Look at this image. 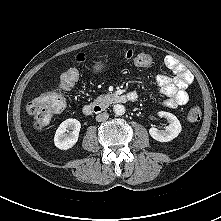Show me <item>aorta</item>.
<instances>
[{"label":"aorta","mask_w":221,"mask_h":221,"mask_svg":"<svg viewBox=\"0 0 221 221\" xmlns=\"http://www.w3.org/2000/svg\"><path fill=\"white\" fill-rule=\"evenodd\" d=\"M113 111L116 115H124L125 112H126V109L124 107V105H121V104H116L114 105L113 107Z\"/></svg>","instance_id":"762f6f07"}]
</instances>
